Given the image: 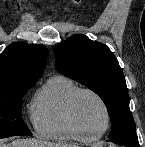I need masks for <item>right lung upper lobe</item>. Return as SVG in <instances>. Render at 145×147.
Masks as SVG:
<instances>
[{
  "label": "right lung upper lobe",
  "instance_id": "1",
  "mask_svg": "<svg viewBox=\"0 0 145 147\" xmlns=\"http://www.w3.org/2000/svg\"><path fill=\"white\" fill-rule=\"evenodd\" d=\"M48 50L44 45L15 42L0 54V92L33 86L43 73Z\"/></svg>",
  "mask_w": 145,
  "mask_h": 147
}]
</instances>
